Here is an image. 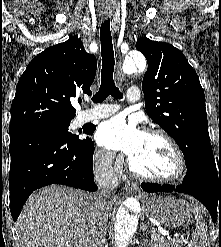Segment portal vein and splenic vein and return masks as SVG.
Returning <instances> with one entry per match:
<instances>
[{
    "label": "portal vein and splenic vein",
    "instance_id": "obj_1",
    "mask_svg": "<svg viewBox=\"0 0 221 247\" xmlns=\"http://www.w3.org/2000/svg\"><path fill=\"white\" fill-rule=\"evenodd\" d=\"M158 232L161 233L162 235L169 236V232L166 230H163L162 228H158Z\"/></svg>",
    "mask_w": 221,
    "mask_h": 247
}]
</instances>
